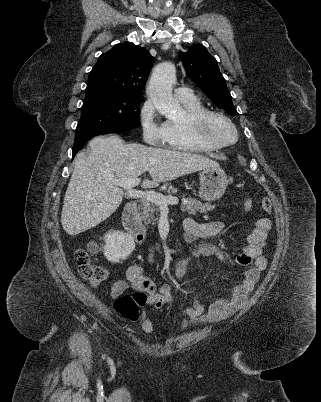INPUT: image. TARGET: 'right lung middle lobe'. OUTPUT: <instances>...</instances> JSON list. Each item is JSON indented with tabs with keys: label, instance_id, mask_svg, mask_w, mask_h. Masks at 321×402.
<instances>
[{
	"label": "right lung middle lobe",
	"instance_id": "dd1d6c3e",
	"mask_svg": "<svg viewBox=\"0 0 321 402\" xmlns=\"http://www.w3.org/2000/svg\"><path fill=\"white\" fill-rule=\"evenodd\" d=\"M141 99L105 90H86L76 132L112 126L139 127Z\"/></svg>",
	"mask_w": 321,
	"mask_h": 402
}]
</instances>
